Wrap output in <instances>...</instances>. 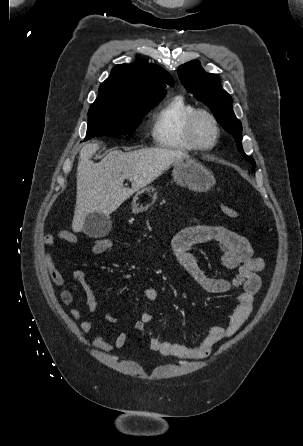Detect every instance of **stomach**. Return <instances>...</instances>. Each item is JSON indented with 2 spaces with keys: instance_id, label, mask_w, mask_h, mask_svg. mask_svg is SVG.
<instances>
[{
  "instance_id": "1",
  "label": "stomach",
  "mask_w": 303,
  "mask_h": 446,
  "mask_svg": "<svg viewBox=\"0 0 303 446\" xmlns=\"http://www.w3.org/2000/svg\"><path fill=\"white\" fill-rule=\"evenodd\" d=\"M174 181L196 192H206L215 183L212 172L200 163L185 158L173 164ZM157 192L153 186H145L137 191L132 201L133 213L146 211L156 200Z\"/></svg>"
}]
</instances>
